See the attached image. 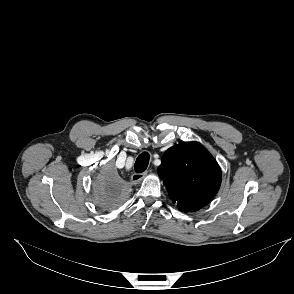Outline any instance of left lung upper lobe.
<instances>
[{"label": "left lung upper lobe", "instance_id": "left-lung-upper-lobe-1", "mask_svg": "<svg viewBox=\"0 0 294 294\" xmlns=\"http://www.w3.org/2000/svg\"><path fill=\"white\" fill-rule=\"evenodd\" d=\"M158 174L170 198L183 212H194L207 205L221 184L218 163L198 142L169 148L162 157Z\"/></svg>", "mask_w": 294, "mask_h": 294}]
</instances>
